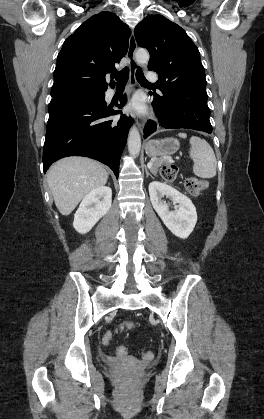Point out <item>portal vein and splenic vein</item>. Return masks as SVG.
Here are the masks:
<instances>
[{"mask_svg": "<svg viewBox=\"0 0 264 419\" xmlns=\"http://www.w3.org/2000/svg\"><path fill=\"white\" fill-rule=\"evenodd\" d=\"M148 166H149V167H151V166H152V164H149Z\"/></svg>", "mask_w": 264, "mask_h": 419, "instance_id": "portal-vein-and-splenic-vein-1", "label": "portal vein and splenic vein"}]
</instances>
